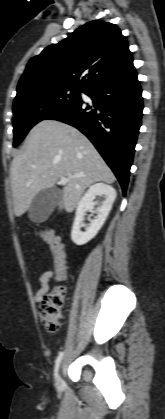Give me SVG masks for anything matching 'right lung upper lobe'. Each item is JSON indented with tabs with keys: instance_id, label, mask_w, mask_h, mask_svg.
Instances as JSON below:
<instances>
[{
	"instance_id": "1",
	"label": "right lung upper lobe",
	"mask_w": 165,
	"mask_h": 419,
	"mask_svg": "<svg viewBox=\"0 0 165 419\" xmlns=\"http://www.w3.org/2000/svg\"><path fill=\"white\" fill-rule=\"evenodd\" d=\"M132 61L126 38L117 26L104 21L88 22L28 62L14 101L53 88L86 91L121 72Z\"/></svg>"
}]
</instances>
